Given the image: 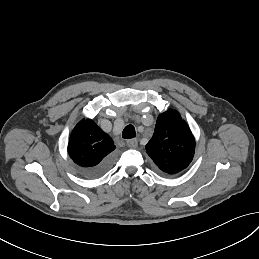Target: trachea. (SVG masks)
Returning a JSON list of instances; mask_svg holds the SVG:
<instances>
[{"instance_id": "3493384b", "label": "trachea", "mask_w": 259, "mask_h": 259, "mask_svg": "<svg viewBox=\"0 0 259 259\" xmlns=\"http://www.w3.org/2000/svg\"><path fill=\"white\" fill-rule=\"evenodd\" d=\"M135 136H136V132H135L134 126L127 125L122 132V137L124 139H131V138H134Z\"/></svg>"}]
</instances>
